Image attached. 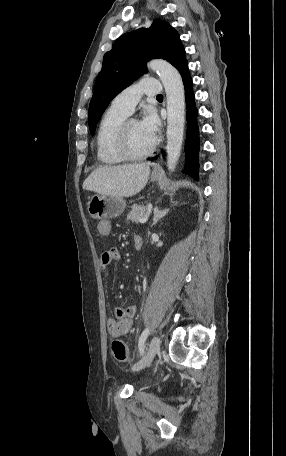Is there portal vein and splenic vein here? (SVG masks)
Masks as SVG:
<instances>
[{"mask_svg":"<svg viewBox=\"0 0 286 456\" xmlns=\"http://www.w3.org/2000/svg\"><path fill=\"white\" fill-rule=\"evenodd\" d=\"M150 216V211H147L146 215L139 220L140 223H145Z\"/></svg>","mask_w":286,"mask_h":456,"instance_id":"18ae733b","label":"portal vein and splenic vein"}]
</instances>
